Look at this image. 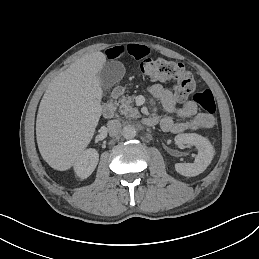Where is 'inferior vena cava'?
<instances>
[{
	"label": "inferior vena cava",
	"mask_w": 259,
	"mask_h": 259,
	"mask_svg": "<svg viewBox=\"0 0 259 259\" xmlns=\"http://www.w3.org/2000/svg\"><path fill=\"white\" fill-rule=\"evenodd\" d=\"M109 135L112 137H119L121 134V123L118 120H110L107 123Z\"/></svg>",
	"instance_id": "1"
}]
</instances>
